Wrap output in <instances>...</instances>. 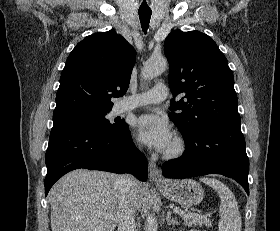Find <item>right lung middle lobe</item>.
Segmentation results:
<instances>
[{
	"mask_svg": "<svg viewBox=\"0 0 280 231\" xmlns=\"http://www.w3.org/2000/svg\"><path fill=\"white\" fill-rule=\"evenodd\" d=\"M107 113L53 124V128L64 126H79L98 132H117L122 130L126 126V123L124 122L111 124L105 117Z\"/></svg>",
	"mask_w": 280,
	"mask_h": 231,
	"instance_id": "obj_1",
	"label": "right lung middle lobe"
}]
</instances>
